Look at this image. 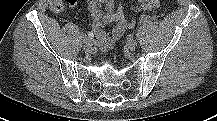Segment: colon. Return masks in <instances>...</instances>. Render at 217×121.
Here are the masks:
<instances>
[{
  "label": "colon",
  "mask_w": 217,
  "mask_h": 121,
  "mask_svg": "<svg viewBox=\"0 0 217 121\" xmlns=\"http://www.w3.org/2000/svg\"><path fill=\"white\" fill-rule=\"evenodd\" d=\"M74 1L75 0H52L50 8L52 11L59 13L64 11L67 6L72 4Z\"/></svg>",
  "instance_id": "5ec220e1"
}]
</instances>
